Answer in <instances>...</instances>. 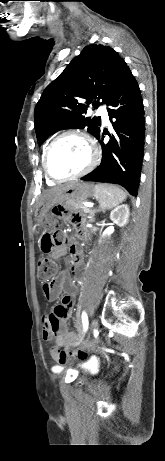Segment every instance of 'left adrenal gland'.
Wrapping results in <instances>:
<instances>
[{
  "label": "left adrenal gland",
  "mask_w": 165,
  "mask_h": 461,
  "mask_svg": "<svg viewBox=\"0 0 165 461\" xmlns=\"http://www.w3.org/2000/svg\"><path fill=\"white\" fill-rule=\"evenodd\" d=\"M100 211H101V209H93V210H91V212H90V214H89V221H90V222H94V220H95V218H94L95 214H96L97 212H100ZM102 211L104 212V210H102Z\"/></svg>",
  "instance_id": "obj_1"
}]
</instances>
